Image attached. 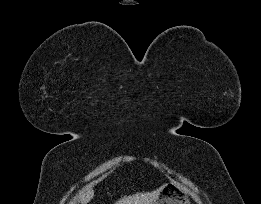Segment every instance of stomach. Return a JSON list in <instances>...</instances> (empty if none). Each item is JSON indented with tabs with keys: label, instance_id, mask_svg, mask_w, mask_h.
<instances>
[{
	"label": "stomach",
	"instance_id": "obj_1",
	"mask_svg": "<svg viewBox=\"0 0 261 204\" xmlns=\"http://www.w3.org/2000/svg\"><path fill=\"white\" fill-rule=\"evenodd\" d=\"M152 204H191L188 196L182 194L181 186L176 182L163 185L159 197Z\"/></svg>",
	"mask_w": 261,
	"mask_h": 204
}]
</instances>
